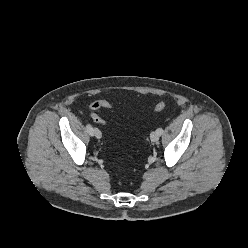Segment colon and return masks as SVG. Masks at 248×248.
Wrapping results in <instances>:
<instances>
[{
	"instance_id": "obj_1",
	"label": "colon",
	"mask_w": 248,
	"mask_h": 248,
	"mask_svg": "<svg viewBox=\"0 0 248 248\" xmlns=\"http://www.w3.org/2000/svg\"><path fill=\"white\" fill-rule=\"evenodd\" d=\"M167 106L166 101H160L158 102L155 107H154V111L155 112H160L162 110H164ZM113 106L111 103H109L108 101L105 100H97L95 102H93L90 105V110H91V117L92 119L99 124L105 125L106 122L103 118H101L98 114L97 111L100 109H111Z\"/></svg>"
}]
</instances>
